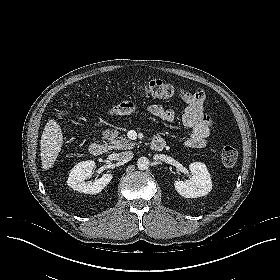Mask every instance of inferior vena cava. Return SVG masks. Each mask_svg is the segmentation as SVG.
<instances>
[{
    "label": "inferior vena cava",
    "mask_w": 280,
    "mask_h": 280,
    "mask_svg": "<svg viewBox=\"0 0 280 280\" xmlns=\"http://www.w3.org/2000/svg\"><path fill=\"white\" fill-rule=\"evenodd\" d=\"M133 152L132 151H125V152H121L118 154V160L126 163L128 161H130L133 158Z\"/></svg>",
    "instance_id": "obj_1"
}]
</instances>
